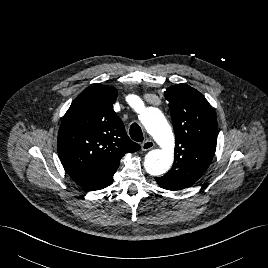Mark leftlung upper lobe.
Returning <instances> with one entry per match:
<instances>
[{
    "label": "left lung upper lobe",
    "mask_w": 268,
    "mask_h": 268,
    "mask_svg": "<svg viewBox=\"0 0 268 268\" xmlns=\"http://www.w3.org/2000/svg\"><path fill=\"white\" fill-rule=\"evenodd\" d=\"M164 94L175 132V159L172 168L156 181L174 191L191 186L205 173L214 157L218 125L213 108L196 89L181 83Z\"/></svg>",
    "instance_id": "5c2ea615"
}]
</instances>
